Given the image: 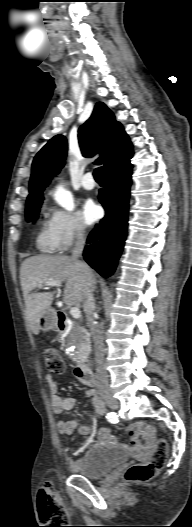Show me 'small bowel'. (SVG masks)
<instances>
[{
    "mask_svg": "<svg viewBox=\"0 0 192 527\" xmlns=\"http://www.w3.org/2000/svg\"><path fill=\"white\" fill-rule=\"evenodd\" d=\"M46 382L51 392V406L56 414H61L65 411L73 409L75 406V399L72 397H63L58 394L57 383L52 375L46 376ZM86 395L91 398L98 415L104 414V405L99 399L96 391L88 390ZM57 430L61 435H71L77 431L80 435H90L92 427L89 425H80L76 420H60L57 423ZM127 433L132 437V445L130 447L123 446L133 457L142 460L149 459L155 448V434L153 429L140 423H134L126 427ZM97 442L101 445L118 446L121 445L111 434L107 428H102L98 432Z\"/></svg>",
    "mask_w": 192,
    "mask_h": 527,
    "instance_id": "c3829d8e",
    "label": "small bowel"
}]
</instances>
